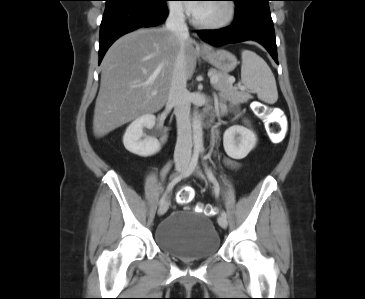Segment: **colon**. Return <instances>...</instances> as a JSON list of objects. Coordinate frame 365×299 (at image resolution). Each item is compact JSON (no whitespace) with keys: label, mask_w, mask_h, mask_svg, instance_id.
I'll return each instance as SVG.
<instances>
[{"label":"colon","mask_w":365,"mask_h":299,"mask_svg":"<svg viewBox=\"0 0 365 299\" xmlns=\"http://www.w3.org/2000/svg\"><path fill=\"white\" fill-rule=\"evenodd\" d=\"M259 114L267 118L268 136L274 142H282L286 132L282 115L279 114L276 110L268 108L264 105L259 106ZM273 114H275L274 117H272ZM194 195V190L189 186H185L181 188L177 194L178 203L182 206H185L192 201ZM196 210L208 216H212L215 214V208L212 205L200 204L196 207Z\"/></svg>","instance_id":"1"}]
</instances>
